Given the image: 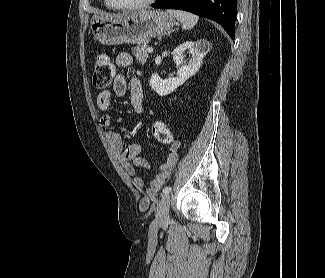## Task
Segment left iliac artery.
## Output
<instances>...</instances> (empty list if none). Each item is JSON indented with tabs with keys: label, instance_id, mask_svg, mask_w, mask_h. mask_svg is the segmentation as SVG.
<instances>
[{
	"label": "left iliac artery",
	"instance_id": "obj_1",
	"mask_svg": "<svg viewBox=\"0 0 325 278\" xmlns=\"http://www.w3.org/2000/svg\"><path fill=\"white\" fill-rule=\"evenodd\" d=\"M171 191V187H165L164 189H163V194H168L169 192Z\"/></svg>",
	"mask_w": 325,
	"mask_h": 278
}]
</instances>
